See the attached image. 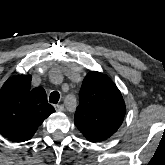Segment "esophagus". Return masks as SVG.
<instances>
[{
	"label": "esophagus",
	"mask_w": 165,
	"mask_h": 165,
	"mask_svg": "<svg viewBox=\"0 0 165 165\" xmlns=\"http://www.w3.org/2000/svg\"><path fill=\"white\" fill-rule=\"evenodd\" d=\"M54 107L58 112H62L64 110V106L62 104H57Z\"/></svg>",
	"instance_id": "1"
}]
</instances>
